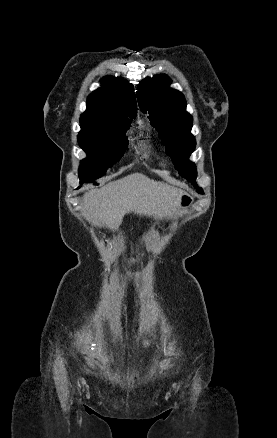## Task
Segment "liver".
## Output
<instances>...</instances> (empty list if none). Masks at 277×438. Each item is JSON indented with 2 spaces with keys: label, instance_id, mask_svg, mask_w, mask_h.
<instances>
[{
  "label": "liver",
  "instance_id": "1",
  "mask_svg": "<svg viewBox=\"0 0 277 438\" xmlns=\"http://www.w3.org/2000/svg\"><path fill=\"white\" fill-rule=\"evenodd\" d=\"M183 194L161 182L149 180L143 174H131L117 182H110L100 190L85 192L83 210L96 226H106L111 232L118 230L125 214L162 218L171 208L170 198ZM165 212H161L164 210Z\"/></svg>",
  "mask_w": 277,
  "mask_h": 438
}]
</instances>
